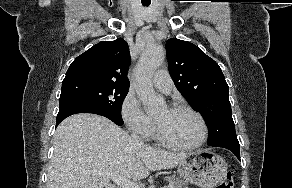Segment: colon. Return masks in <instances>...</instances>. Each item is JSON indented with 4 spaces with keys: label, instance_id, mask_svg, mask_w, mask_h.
I'll list each match as a JSON object with an SVG mask.
<instances>
[{
    "label": "colon",
    "instance_id": "colon-1",
    "mask_svg": "<svg viewBox=\"0 0 292 188\" xmlns=\"http://www.w3.org/2000/svg\"><path fill=\"white\" fill-rule=\"evenodd\" d=\"M215 188H233V179L231 173H228Z\"/></svg>",
    "mask_w": 292,
    "mask_h": 188
}]
</instances>
